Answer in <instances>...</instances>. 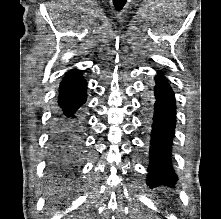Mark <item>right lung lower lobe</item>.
<instances>
[{
	"mask_svg": "<svg viewBox=\"0 0 221 219\" xmlns=\"http://www.w3.org/2000/svg\"><path fill=\"white\" fill-rule=\"evenodd\" d=\"M86 80L79 70H71L60 84L58 107L51 121L50 162L55 167L69 165L80 153L86 102Z\"/></svg>",
	"mask_w": 221,
	"mask_h": 219,
	"instance_id": "right-lung-lower-lobe-1",
	"label": "right lung lower lobe"
}]
</instances>
